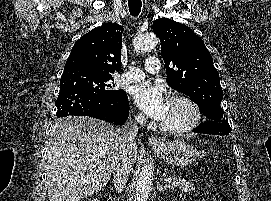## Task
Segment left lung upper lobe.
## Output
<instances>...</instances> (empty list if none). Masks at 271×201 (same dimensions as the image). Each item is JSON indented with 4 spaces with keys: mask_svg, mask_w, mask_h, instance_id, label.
<instances>
[{
    "mask_svg": "<svg viewBox=\"0 0 271 201\" xmlns=\"http://www.w3.org/2000/svg\"><path fill=\"white\" fill-rule=\"evenodd\" d=\"M153 31L161 42V53L167 66L168 85L186 95L198 105L200 111L220 129L215 135L231 132L228 121L223 118L221 100L223 91L218 71L204 42L186 25L168 18L153 22Z\"/></svg>",
    "mask_w": 271,
    "mask_h": 201,
    "instance_id": "5c2ea615",
    "label": "left lung upper lobe"
}]
</instances>
